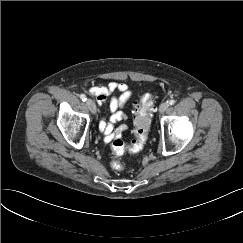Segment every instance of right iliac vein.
Here are the masks:
<instances>
[{
    "label": "right iliac vein",
    "mask_w": 243,
    "mask_h": 243,
    "mask_svg": "<svg viewBox=\"0 0 243 243\" xmlns=\"http://www.w3.org/2000/svg\"><path fill=\"white\" fill-rule=\"evenodd\" d=\"M87 105L91 113L96 114L97 112L96 105L92 99L87 100Z\"/></svg>",
    "instance_id": "63e3f726"
}]
</instances>
